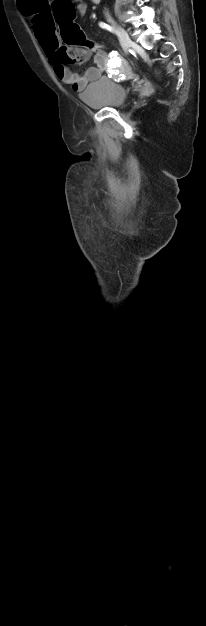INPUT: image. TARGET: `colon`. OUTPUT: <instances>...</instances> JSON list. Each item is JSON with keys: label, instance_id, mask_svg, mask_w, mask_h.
I'll return each mask as SVG.
<instances>
[{"label": "colon", "instance_id": "5ec220e1", "mask_svg": "<svg viewBox=\"0 0 206 626\" xmlns=\"http://www.w3.org/2000/svg\"><path fill=\"white\" fill-rule=\"evenodd\" d=\"M73 1L75 0H54L52 2L56 21L61 28V37L66 45L60 48L58 54L59 59L64 63L86 61L92 52L101 49V46L88 39L74 22Z\"/></svg>", "mask_w": 206, "mask_h": 626}]
</instances>
